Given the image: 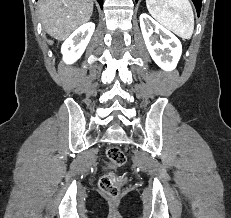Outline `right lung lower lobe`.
Here are the masks:
<instances>
[{"label":"right lung lower lobe","instance_id":"obj_1","mask_svg":"<svg viewBox=\"0 0 231 218\" xmlns=\"http://www.w3.org/2000/svg\"><path fill=\"white\" fill-rule=\"evenodd\" d=\"M97 1L99 3L100 7L102 8L103 7V0H97Z\"/></svg>","mask_w":231,"mask_h":218}]
</instances>
